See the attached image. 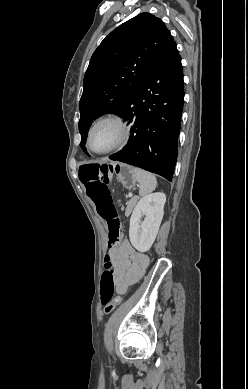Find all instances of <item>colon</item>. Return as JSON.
<instances>
[{
	"label": "colon",
	"instance_id": "obj_1",
	"mask_svg": "<svg viewBox=\"0 0 248 389\" xmlns=\"http://www.w3.org/2000/svg\"><path fill=\"white\" fill-rule=\"evenodd\" d=\"M81 169V179L87 195L95 203L97 212L106 221L108 228V245L118 246L123 237L124 228L117 210L113 204L110 192L111 162L85 161ZM115 267L109 256L105 258V269L100 286V301L104 313L110 314L122 302L123 296H115Z\"/></svg>",
	"mask_w": 248,
	"mask_h": 389
}]
</instances>
